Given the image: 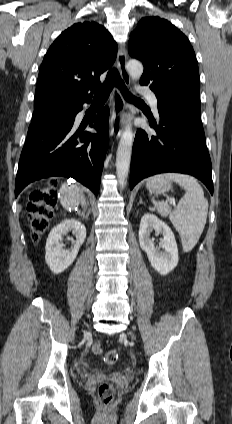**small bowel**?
<instances>
[{"instance_id":"1","label":"small bowel","mask_w":232,"mask_h":424,"mask_svg":"<svg viewBox=\"0 0 232 424\" xmlns=\"http://www.w3.org/2000/svg\"><path fill=\"white\" fill-rule=\"evenodd\" d=\"M93 350H94V352L95 353H98L99 352V346L98 345H95L94 347H93Z\"/></svg>"}]
</instances>
